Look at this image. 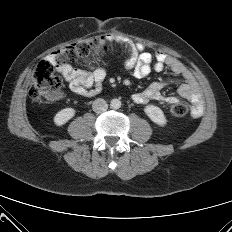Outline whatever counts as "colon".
<instances>
[{
  "label": "colon",
  "mask_w": 232,
  "mask_h": 232,
  "mask_svg": "<svg viewBox=\"0 0 232 232\" xmlns=\"http://www.w3.org/2000/svg\"><path fill=\"white\" fill-rule=\"evenodd\" d=\"M110 48V43L95 37L72 43L54 52L49 60L39 62L35 67L29 89L30 98L34 102H41L60 93L62 82L54 73L55 66L67 62L99 60ZM169 112L174 117H184L189 109L186 104L177 102L169 106Z\"/></svg>",
  "instance_id": "1"
}]
</instances>
